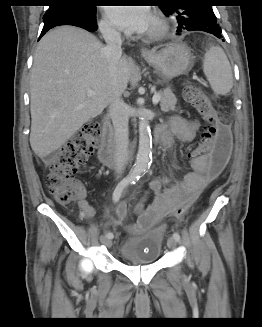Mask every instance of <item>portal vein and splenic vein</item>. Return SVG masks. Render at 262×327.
Listing matches in <instances>:
<instances>
[{"label":"portal vein and splenic vein","instance_id":"1","mask_svg":"<svg viewBox=\"0 0 262 327\" xmlns=\"http://www.w3.org/2000/svg\"><path fill=\"white\" fill-rule=\"evenodd\" d=\"M92 94H93V92L91 90H89L87 92L88 96H91ZM159 101H160V95H159V93H155L153 98H152V102H153L154 105H156V104H158Z\"/></svg>","mask_w":262,"mask_h":327}]
</instances>
